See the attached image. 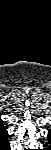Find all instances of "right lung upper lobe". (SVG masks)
I'll return each instance as SVG.
<instances>
[{"mask_svg": "<svg viewBox=\"0 0 51 150\" xmlns=\"http://www.w3.org/2000/svg\"><path fill=\"white\" fill-rule=\"evenodd\" d=\"M8 133L3 126V122L0 120V145L3 146L8 142Z\"/></svg>", "mask_w": 51, "mask_h": 150, "instance_id": "obj_1", "label": "right lung upper lobe"}]
</instances>
